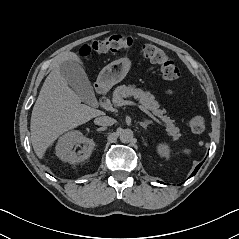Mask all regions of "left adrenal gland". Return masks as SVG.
<instances>
[{
	"label": "left adrenal gland",
	"instance_id": "a2214340",
	"mask_svg": "<svg viewBox=\"0 0 239 239\" xmlns=\"http://www.w3.org/2000/svg\"><path fill=\"white\" fill-rule=\"evenodd\" d=\"M152 124L151 120H145L144 122H140V125L144 128L147 129L148 125Z\"/></svg>",
	"mask_w": 239,
	"mask_h": 239
}]
</instances>
